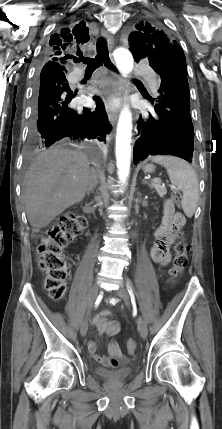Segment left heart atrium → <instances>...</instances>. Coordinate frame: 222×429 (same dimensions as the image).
I'll list each match as a JSON object with an SVG mask.
<instances>
[{
  "instance_id": "1",
  "label": "left heart atrium",
  "mask_w": 222,
  "mask_h": 429,
  "mask_svg": "<svg viewBox=\"0 0 222 429\" xmlns=\"http://www.w3.org/2000/svg\"><path fill=\"white\" fill-rule=\"evenodd\" d=\"M111 104H112V105H114V104H115V102L113 101V102H111V103H110V105H111Z\"/></svg>"
}]
</instances>
